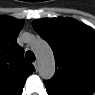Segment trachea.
Masks as SVG:
<instances>
[{
  "label": "trachea",
  "mask_w": 95,
  "mask_h": 95,
  "mask_svg": "<svg viewBox=\"0 0 95 95\" xmlns=\"http://www.w3.org/2000/svg\"><path fill=\"white\" fill-rule=\"evenodd\" d=\"M25 58L29 61V62H34L35 61V54L32 51H27L25 53Z\"/></svg>",
  "instance_id": "1"
}]
</instances>
